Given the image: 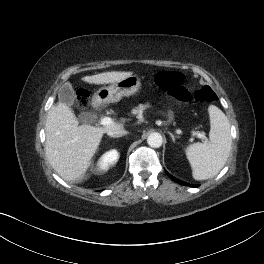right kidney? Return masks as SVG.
Instances as JSON below:
<instances>
[{
	"mask_svg": "<svg viewBox=\"0 0 264 264\" xmlns=\"http://www.w3.org/2000/svg\"><path fill=\"white\" fill-rule=\"evenodd\" d=\"M119 153L117 150H110L106 152L100 159L98 163V169L105 171L109 168L110 165L115 164L118 161Z\"/></svg>",
	"mask_w": 264,
	"mask_h": 264,
	"instance_id": "1",
	"label": "right kidney"
}]
</instances>
